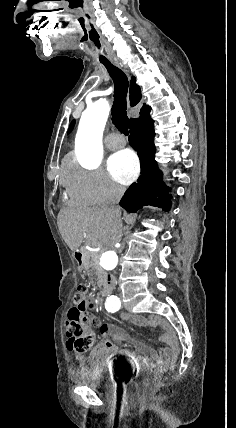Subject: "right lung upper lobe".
Segmentation results:
<instances>
[{
    "label": "right lung upper lobe",
    "mask_w": 236,
    "mask_h": 428,
    "mask_svg": "<svg viewBox=\"0 0 236 428\" xmlns=\"http://www.w3.org/2000/svg\"><path fill=\"white\" fill-rule=\"evenodd\" d=\"M141 101V91H140V87L136 84V79L135 77H132L131 81H130V104L131 106H136L139 102ZM151 108L147 105H143V107L141 108L140 111V115L141 117L147 115L150 113ZM140 117V118H141ZM139 119V118H138ZM138 119H130V126L137 121Z\"/></svg>",
    "instance_id": "right-lung-upper-lobe-1"
}]
</instances>
